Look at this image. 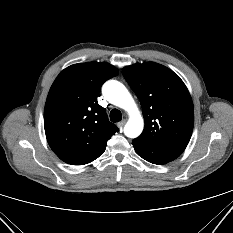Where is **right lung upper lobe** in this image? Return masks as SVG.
Wrapping results in <instances>:
<instances>
[{"label":"right lung upper lobe","instance_id":"obj_1","mask_svg":"<svg viewBox=\"0 0 233 233\" xmlns=\"http://www.w3.org/2000/svg\"><path fill=\"white\" fill-rule=\"evenodd\" d=\"M105 62L74 64L52 84L44 109V128L54 153L71 165H84L103 154L118 128L97 101L102 84L118 75Z\"/></svg>","mask_w":233,"mask_h":233}]
</instances>
